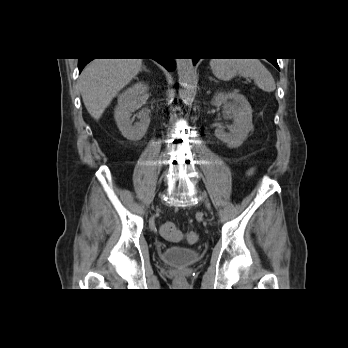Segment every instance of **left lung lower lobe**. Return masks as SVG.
<instances>
[{"label":"left lung lower lobe","mask_w":348,"mask_h":348,"mask_svg":"<svg viewBox=\"0 0 348 348\" xmlns=\"http://www.w3.org/2000/svg\"><path fill=\"white\" fill-rule=\"evenodd\" d=\"M198 60H199V59L194 58V59H193V64L195 65V64L197 63ZM269 61L279 70V66H278V64H277V60H276V59H274V60H269Z\"/></svg>","instance_id":"0a47b994"}]
</instances>
